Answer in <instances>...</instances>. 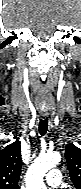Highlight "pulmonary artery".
I'll use <instances>...</instances> for the list:
<instances>
[{"label": "pulmonary artery", "mask_w": 81, "mask_h": 189, "mask_svg": "<svg viewBox=\"0 0 81 189\" xmlns=\"http://www.w3.org/2000/svg\"><path fill=\"white\" fill-rule=\"evenodd\" d=\"M46 183L51 187H58L62 181V175L59 170H50L45 178Z\"/></svg>", "instance_id": "e3ab8cb5"}]
</instances>
